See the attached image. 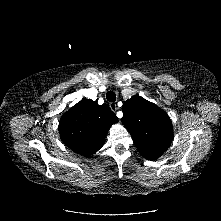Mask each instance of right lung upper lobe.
Listing matches in <instances>:
<instances>
[{
    "label": "right lung upper lobe",
    "mask_w": 221,
    "mask_h": 221,
    "mask_svg": "<svg viewBox=\"0 0 221 221\" xmlns=\"http://www.w3.org/2000/svg\"><path fill=\"white\" fill-rule=\"evenodd\" d=\"M117 121L109 106L84 99L61 117L59 133L66 146L88 157L103 146L109 128Z\"/></svg>",
    "instance_id": "cb5924a9"
}]
</instances>
